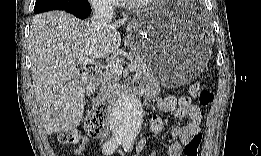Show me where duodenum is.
<instances>
[{
    "instance_id": "obj_1",
    "label": "duodenum",
    "mask_w": 261,
    "mask_h": 156,
    "mask_svg": "<svg viewBox=\"0 0 261 156\" xmlns=\"http://www.w3.org/2000/svg\"><path fill=\"white\" fill-rule=\"evenodd\" d=\"M88 76L91 80L97 81L100 78V71L98 69L91 68L88 70ZM126 89L131 92H134L135 87L129 82V83H126ZM114 101H115V97L112 96V97L103 99L101 101H98L97 105L109 107V106L113 105Z\"/></svg>"
}]
</instances>
